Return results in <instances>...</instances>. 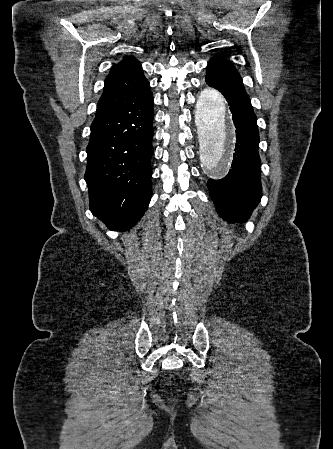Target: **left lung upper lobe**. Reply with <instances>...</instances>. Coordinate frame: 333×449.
<instances>
[{
  "label": "left lung upper lobe",
  "instance_id": "1",
  "mask_svg": "<svg viewBox=\"0 0 333 449\" xmlns=\"http://www.w3.org/2000/svg\"><path fill=\"white\" fill-rule=\"evenodd\" d=\"M208 72L242 81V78L234 68L233 63L221 54L215 55L209 60L207 66V73Z\"/></svg>",
  "mask_w": 333,
  "mask_h": 449
}]
</instances>
